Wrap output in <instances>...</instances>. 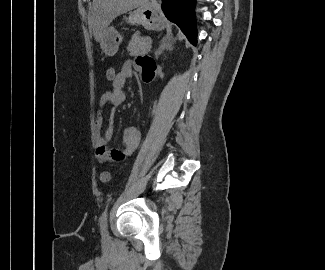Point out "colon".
Masks as SVG:
<instances>
[{
  "instance_id": "1",
  "label": "colon",
  "mask_w": 325,
  "mask_h": 270,
  "mask_svg": "<svg viewBox=\"0 0 325 270\" xmlns=\"http://www.w3.org/2000/svg\"><path fill=\"white\" fill-rule=\"evenodd\" d=\"M118 71L115 67L109 66L105 71V77L107 82L111 83L112 85L117 81ZM110 180V173L108 171H103L100 174V181L106 183Z\"/></svg>"
}]
</instances>
